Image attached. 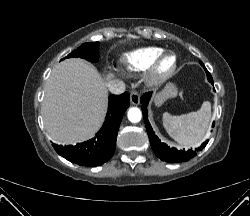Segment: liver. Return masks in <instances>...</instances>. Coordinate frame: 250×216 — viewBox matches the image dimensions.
<instances>
[{
	"label": "liver",
	"instance_id": "6515ba94",
	"mask_svg": "<svg viewBox=\"0 0 250 216\" xmlns=\"http://www.w3.org/2000/svg\"><path fill=\"white\" fill-rule=\"evenodd\" d=\"M110 74L106 81L113 80ZM106 82L90 63L71 58L58 63L45 85L44 126L58 144H75L94 136L108 106Z\"/></svg>",
	"mask_w": 250,
	"mask_h": 216
}]
</instances>
